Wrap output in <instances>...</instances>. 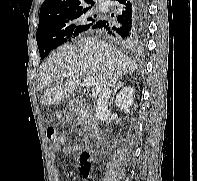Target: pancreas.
<instances>
[{"label": "pancreas", "mask_w": 197, "mask_h": 181, "mask_svg": "<svg viewBox=\"0 0 197 181\" xmlns=\"http://www.w3.org/2000/svg\"><path fill=\"white\" fill-rule=\"evenodd\" d=\"M77 120H78V124L82 125L83 131L88 129V126H87V123H86L84 117L78 118Z\"/></svg>", "instance_id": "1"}]
</instances>
